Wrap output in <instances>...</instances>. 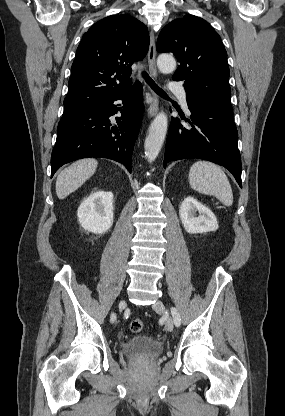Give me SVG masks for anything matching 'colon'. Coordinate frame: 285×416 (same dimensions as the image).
I'll use <instances>...</instances> for the list:
<instances>
[{
    "label": "colon",
    "instance_id": "obj_1",
    "mask_svg": "<svg viewBox=\"0 0 285 416\" xmlns=\"http://www.w3.org/2000/svg\"><path fill=\"white\" fill-rule=\"evenodd\" d=\"M143 329V322L140 319H134L130 323V330L133 333H139Z\"/></svg>",
    "mask_w": 285,
    "mask_h": 416
}]
</instances>
